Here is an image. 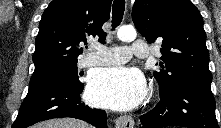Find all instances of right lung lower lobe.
Masks as SVG:
<instances>
[{"mask_svg":"<svg viewBox=\"0 0 221 128\" xmlns=\"http://www.w3.org/2000/svg\"><path fill=\"white\" fill-rule=\"evenodd\" d=\"M82 91L83 88L62 82H50L29 89L12 127L26 128L47 119L73 117L96 128H107L106 112L82 103Z\"/></svg>","mask_w":221,"mask_h":128,"instance_id":"obj_1","label":"right lung lower lobe"}]
</instances>
